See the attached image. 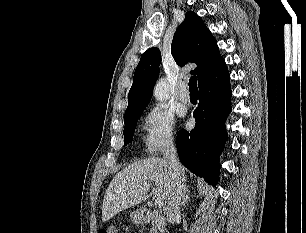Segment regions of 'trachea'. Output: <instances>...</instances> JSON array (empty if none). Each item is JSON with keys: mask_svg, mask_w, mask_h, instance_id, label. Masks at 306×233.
Instances as JSON below:
<instances>
[{"mask_svg": "<svg viewBox=\"0 0 306 233\" xmlns=\"http://www.w3.org/2000/svg\"><path fill=\"white\" fill-rule=\"evenodd\" d=\"M189 90L190 92H197V78L192 76L189 80Z\"/></svg>", "mask_w": 306, "mask_h": 233, "instance_id": "3493384b", "label": "trachea"}]
</instances>
